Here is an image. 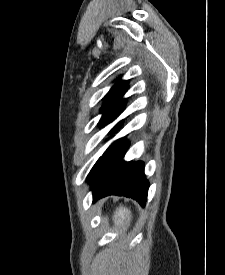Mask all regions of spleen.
Returning <instances> with one entry per match:
<instances>
[{
  "label": "spleen",
  "instance_id": "1",
  "mask_svg": "<svg viewBox=\"0 0 225 275\" xmlns=\"http://www.w3.org/2000/svg\"><path fill=\"white\" fill-rule=\"evenodd\" d=\"M131 219V211L130 209L119 206L116 208L114 215H113V222L115 227L117 228H124Z\"/></svg>",
  "mask_w": 225,
  "mask_h": 275
}]
</instances>
